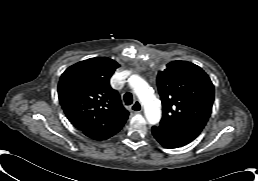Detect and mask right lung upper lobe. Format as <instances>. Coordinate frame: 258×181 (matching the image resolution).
Segmentation results:
<instances>
[{
    "instance_id": "cb5924a9",
    "label": "right lung upper lobe",
    "mask_w": 258,
    "mask_h": 181,
    "mask_svg": "<svg viewBox=\"0 0 258 181\" xmlns=\"http://www.w3.org/2000/svg\"><path fill=\"white\" fill-rule=\"evenodd\" d=\"M118 67L110 58L97 57L78 62L62 74L60 104L69 121L84 134L126 122L129 113L109 83Z\"/></svg>"
}]
</instances>
